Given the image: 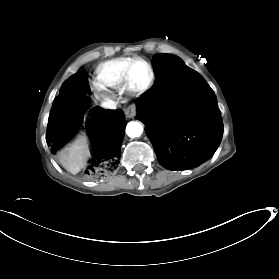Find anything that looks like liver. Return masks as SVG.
Here are the masks:
<instances>
[{"instance_id":"obj_1","label":"liver","mask_w":279,"mask_h":279,"mask_svg":"<svg viewBox=\"0 0 279 279\" xmlns=\"http://www.w3.org/2000/svg\"><path fill=\"white\" fill-rule=\"evenodd\" d=\"M84 152L80 147H76L73 150H67L65 153L61 154V158L63 159V165L70 171L71 173H77L84 164Z\"/></svg>"}]
</instances>
